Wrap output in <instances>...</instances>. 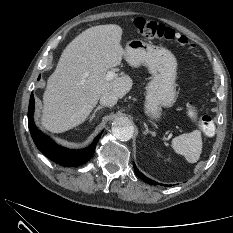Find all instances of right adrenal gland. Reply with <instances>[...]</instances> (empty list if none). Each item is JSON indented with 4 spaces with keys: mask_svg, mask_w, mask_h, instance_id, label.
<instances>
[{
    "mask_svg": "<svg viewBox=\"0 0 233 233\" xmlns=\"http://www.w3.org/2000/svg\"><path fill=\"white\" fill-rule=\"evenodd\" d=\"M103 106H97L96 109L94 110L92 116L90 117L89 121L91 122L94 118H95V114L97 111H99L100 109H102Z\"/></svg>",
    "mask_w": 233,
    "mask_h": 233,
    "instance_id": "right-adrenal-gland-1",
    "label": "right adrenal gland"
}]
</instances>
